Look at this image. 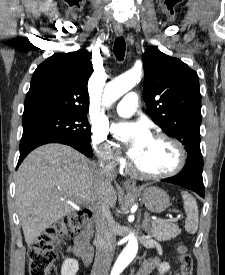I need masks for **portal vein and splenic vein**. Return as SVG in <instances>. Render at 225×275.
<instances>
[{
  "mask_svg": "<svg viewBox=\"0 0 225 275\" xmlns=\"http://www.w3.org/2000/svg\"><path fill=\"white\" fill-rule=\"evenodd\" d=\"M68 203H69V204H72L73 206H75V204H73V203H71V202H69V201H68ZM158 220H161V219H158Z\"/></svg>",
  "mask_w": 225,
  "mask_h": 275,
  "instance_id": "portal-vein-and-splenic-vein-1",
  "label": "portal vein and splenic vein"
}]
</instances>
